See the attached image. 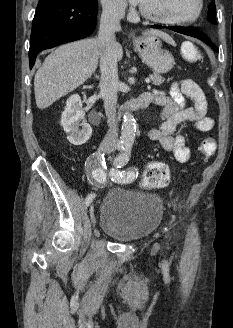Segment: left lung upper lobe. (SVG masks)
Segmentation results:
<instances>
[{
	"label": "left lung upper lobe",
	"mask_w": 233,
	"mask_h": 328,
	"mask_svg": "<svg viewBox=\"0 0 233 328\" xmlns=\"http://www.w3.org/2000/svg\"><path fill=\"white\" fill-rule=\"evenodd\" d=\"M215 2L214 0L209 4V11H208V20L213 23V24H217L216 20H215Z\"/></svg>",
	"instance_id": "1"
}]
</instances>
